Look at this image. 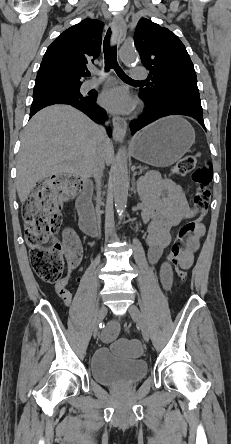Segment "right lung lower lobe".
Instances as JSON below:
<instances>
[{
    "label": "right lung lower lobe",
    "instance_id": "1",
    "mask_svg": "<svg viewBox=\"0 0 231 444\" xmlns=\"http://www.w3.org/2000/svg\"><path fill=\"white\" fill-rule=\"evenodd\" d=\"M96 95H89L83 98H76L65 94H42L33 97L30 116H33L40 109L53 104H68L84 112L97 123H104L107 119L106 112L96 104ZM108 135L111 136V129L108 128Z\"/></svg>",
    "mask_w": 231,
    "mask_h": 444
}]
</instances>
